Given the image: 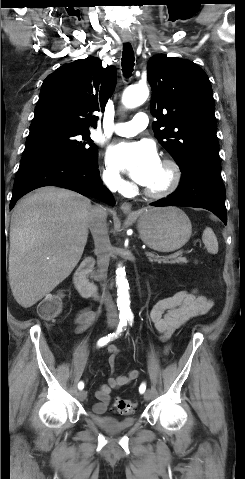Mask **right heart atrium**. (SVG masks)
<instances>
[{
    "label": "right heart atrium",
    "instance_id": "d8ad5b80",
    "mask_svg": "<svg viewBox=\"0 0 245 479\" xmlns=\"http://www.w3.org/2000/svg\"><path fill=\"white\" fill-rule=\"evenodd\" d=\"M101 179L105 186L111 190H123L127 183L120 173L113 167L104 166L101 172Z\"/></svg>",
    "mask_w": 245,
    "mask_h": 479
}]
</instances>
